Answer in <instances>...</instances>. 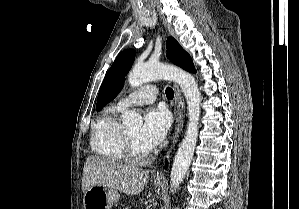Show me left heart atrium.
Returning a JSON list of instances; mask_svg holds the SVG:
<instances>
[{
  "instance_id": "1",
  "label": "left heart atrium",
  "mask_w": 299,
  "mask_h": 209,
  "mask_svg": "<svg viewBox=\"0 0 299 209\" xmlns=\"http://www.w3.org/2000/svg\"><path fill=\"white\" fill-rule=\"evenodd\" d=\"M169 126L167 111L163 108H152L144 116L139 139L151 151L163 141Z\"/></svg>"
}]
</instances>
